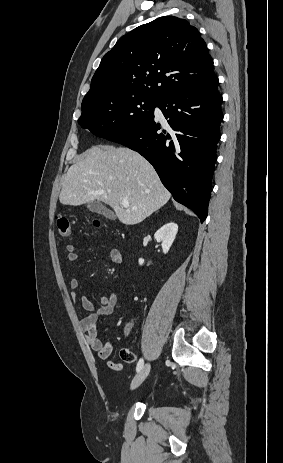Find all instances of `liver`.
Listing matches in <instances>:
<instances>
[{
	"instance_id": "liver-1",
	"label": "liver",
	"mask_w": 283,
	"mask_h": 463,
	"mask_svg": "<svg viewBox=\"0 0 283 463\" xmlns=\"http://www.w3.org/2000/svg\"><path fill=\"white\" fill-rule=\"evenodd\" d=\"M153 166L139 153L124 147L93 146L73 164L59 195L63 205L102 201L120 222H142L170 199ZM126 199L128 207L121 206Z\"/></svg>"
}]
</instances>
